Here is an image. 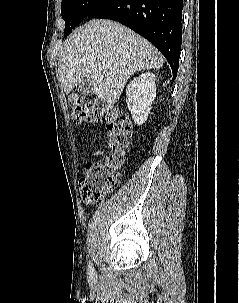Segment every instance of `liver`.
I'll list each match as a JSON object with an SVG mask.
<instances>
[{"label": "liver", "instance_id": "1", "mask_svg": "<svg viewBox=\"0 0 239 303\" xmlns=\"http://www.w3.org/2000/svg\"><path fill=\"white\" fill-rule=\"evenodd\" d=\"M162 66L159 51L131 29L110 20H92L66 40L58 72L66 94L88 78L93 93L113 105L133 73Z\"/></svg>", "mask_w": 239, "mask_h": 303}]
</instances>
